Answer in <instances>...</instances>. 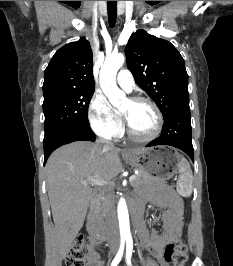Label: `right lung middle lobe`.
I'll list each match as a JSON object with an SVG mask.
<instances>
[{"label": "right lung middle lobe", "instance_id": "obj_1", "mask_svg": "<svg viewBox=\"0 0 233 266\" xmlns=\"http://www.w3.org/2000/svg\"><path fill=\"white\" fill-rule=\"evenodd\" d=\"M93 93L76 90L44 96V138L69 127L89 126L87 111Z\"/></svg>", "mask_w": 233, "mask_h": 266}]
</instances>
